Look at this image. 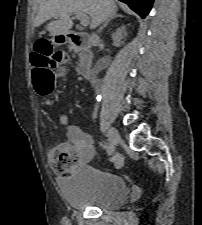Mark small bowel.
Here are the masks:
<instances>
[{"label":"small bowel","mask_w":202,"mask_h":225,"mask_svg":"<svg viewBox=\"0 0 202 225\" xmlns=\"http://www.w3.org/2000/svg\"><path fill=\"white\" fill-rule=\"evenodd\" d=\"M33 59L32 55L31 62H33ZM58 119L60 123L67 124L68 118L65 114L60 113ZM67 136L77 148L79 163L81 165L90 163L94 156V142L90 134L78 125H68Z\"/></svg>","instance_id":"c3829d8e"}]
</instances>
